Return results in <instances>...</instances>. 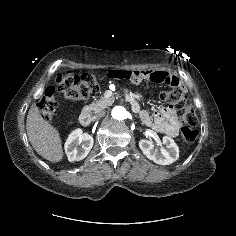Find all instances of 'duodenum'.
<instances>
[{"label": "duodenum", "instance_id": "1", "mask_svg": "<svg viewBox=\"0 0 236 236\" xmlns=\"http://www.w3.org/2000/svg\"><path fill=\"white\" fill-rule=\"evenodd\" d=\"M125 100L130 104V106L135 112L140 111L139 103L134 97L126 95ZM90 121H91L90 113L87 110H84L79 116V123L82 126H87L89 125Z\"/></svg>", "mask_w": 236, "mask_h": 236}]
</instances>
